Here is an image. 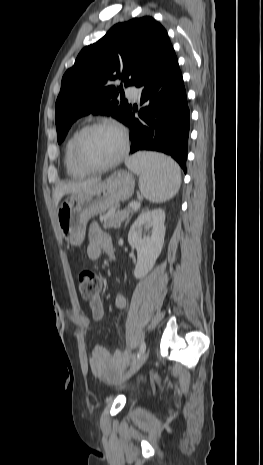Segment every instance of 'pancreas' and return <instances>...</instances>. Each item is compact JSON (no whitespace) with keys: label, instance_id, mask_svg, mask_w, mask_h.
I'll use <instances>...</instances> for the list:
<instances>
[{"label":"pancreas","instance_id":"obj_1","mask_svg":"<svg viewBox=\"0 0 263 465\" xmlns=\"http://www.w3.org/2000/svg\"><path fill=\"white\" fill-rule=\"evenodd\" d=\"M133 211L126 209L123 211L115 212L110 217L100 216V222L103 223V227L106 228H120L121 224L129 219V215Z\"/></svg>","mask_w":263,"mask_h":465}]
</instances>
